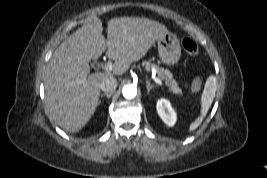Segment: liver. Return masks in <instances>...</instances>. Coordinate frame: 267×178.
<instances>
[{
	"mask_svg": "<svg viewBox=\"0 0 267 178\" xmlns=\"http://www.w3.org/2000/svg\"><path fill=\"white\" fill-rule=\"evenodd\" d=\"M102 31L99 18H88L61 43L48 64L44 79L46 108L50 118L65 131L78 132L90 120L104 79L124 74L131 63L144 57L168 33L163 24L138 17L109 20L107 40ZM105 51L114 60L113 72L90 75L89 61Z\"/></svg>",
	"mask_w": 267,
	"mask_h": 178,
	"instance_id": "6515ba94",
	"label": "liver"
}]
</instances>
